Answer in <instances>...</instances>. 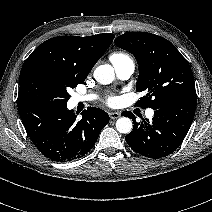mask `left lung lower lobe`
Segmentation results:
<instances>
[{
    "label": "left lung lower lobe",
    "mask_w": 212,
    "mask_h": 212,
    "mask_svg": "<svg viewBox=\"0 0 212 212\" xmlns=\"http://www.w3.org/2000/svg\"><path fill=\"white\" fill-rule=\"evenodd\" d=\"M196 99H180L155 109L152 121L134 122L126 142L135 152L149 158H162L174 152L183 142L194 118Z\"/></svg>",
    "instance_id": "left-lung-lower-lobe-1"
}]
</instances>
